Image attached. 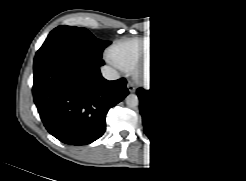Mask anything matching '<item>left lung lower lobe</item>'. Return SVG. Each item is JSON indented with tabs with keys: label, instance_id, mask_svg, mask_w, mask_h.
<instances>
[{
	"label": "left lung lower lobe",
	"instance_id": "left-lung-lower-lobe-1",
	"mask_svg": "<svg viewBox=\"0 0 246 181\" xmlns=\"http://www.w3.org/2000/svg\"><path fill=\"white\" fill-rule=\"evenodd\" d=\"M218 66L211 52L188 58L178 77L161 88L137 89L144 132L151 143L172 147L204 131L217 107Z\"/></svg>",
	"mask_w": 246,
	"mask_h": 181
}]
</instances>
